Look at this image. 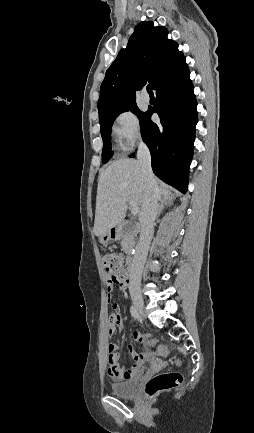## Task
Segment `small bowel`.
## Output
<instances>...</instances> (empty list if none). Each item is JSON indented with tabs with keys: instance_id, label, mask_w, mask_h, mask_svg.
I'll list each match as a JSON object with an SVG mask.
<instances>
[{
	"instance_id": "1",
	"label": "small bowel",
	"mask_w": 254,
	"mask_h": 433,
	"mask_svg": "<svg viewBox=\"0 0 254 433\" xmlns=\"http://www.w3.org/2000/svg\"><path fill=\"white\" fill-rule=\"evenodd\" d=\"M115 284L119 290L124 291L127 288L128 281ZM113 285L114 284H107V290L109 293L112 292ZM121 328L122 320L120 314V307L118 304H113V311L107 325L108 335L112 336L117 331L121 330ZM132 338L136 342H147V337L138 331H134L132 333ZM117 349L118 347L114 343H108L106 346L109 376L113 380L122 381L130 379L137 375L147 358V353H138L133 346H128V352L133 359V364L128 369H125L119 364V354L117 353ZM151 362L153 364L159 363V361L155 359H153Z\"/></svg>"
}]
</instances>
